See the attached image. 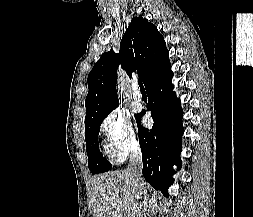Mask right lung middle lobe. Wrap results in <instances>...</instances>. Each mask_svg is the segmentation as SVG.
<instances>
[{
    "label": "right lung middle lobe",
    "mask_w": 253,
    "mask_h": 217,
    "mask_svg": "<svg viewBox=\"0 0 253 217\" xmlns=\"http://www.w3.org/2000/svg\"><path fill=\"white\" fill-rule=\"evenodd\" d=\"M117 107V106H116ZM116 107L85 122L86 151L88 155V168L92 174L102 173L111 169L112 165L99 151L98 134L104 118Z\"/></svg>",
    "instance_id": "dd1d6c3e"
}]
</instances>
